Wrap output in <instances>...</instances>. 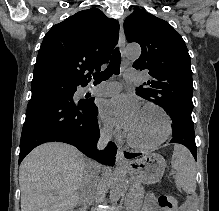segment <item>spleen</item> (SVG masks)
Here are the masks:
<instances>
[{
    "instance_id": "obj_1",
    "label": "spleen",
    "mask_w": 219,
    "mask_h": 211,
    "mask_svg": "<svg viewBox=\"0 0 219 211\" xmlns=\"http://www.w3.org/2000/svg\"><path fill=\"white\" fill-rule=\"evenodd\" d=\"M172 167L175 173L177 187H182L186 193H195L196 167L194 157L189 149L181 143H175L172 155Z\"/></svg>"
}]
</instances>
